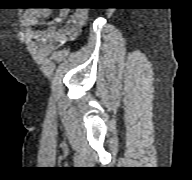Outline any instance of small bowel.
<instances>
[{
	"label": "small bowel",
	"instance_id": "1",
	"mask_svg": "<svg viewBox=\"0 0 192 180\" xmlns=\"http://www.w3.org/2000/svg\"><path fill=\"white\" fill-rule=\"evenodd\" d=\"M50 10L47 8L29 9L25 12V23L28 26L38 24L40 19L49 16ZM67 11L60 10L55 19V23L61 24L66 20L65 26H53L42 31L29 30L26 35L34 40L37 46L43 52H51L57 48V43H61L67 39L76 38L86 22V16L83 12H75L67 19Z\"/></svg>",
	"mask_w": 192,
	"mask_h": 180
}]
</instances>
